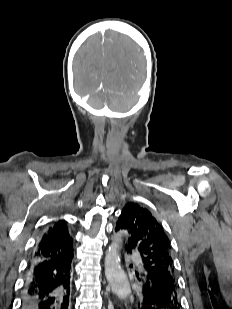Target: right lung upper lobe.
Masks as SVG:
<instances>
[{
	"label": "right lung upper lobe",
	"mask_w": 232,
	"mask_h": 309,
	"mask_svg": "<svg viewBox=\"0 0 232 309\" xmlns=\"http://www.w3.org/2000/svg\"><path fill=\"white\" fill-rule=\"evenodd\" d=\"M73 253V239L67 222L59 220L49 227L39 241L32 259L44 260L55 257L67 258Z\"/></svg>",
	"instance_id": "obj_1"
}]
</instances>
